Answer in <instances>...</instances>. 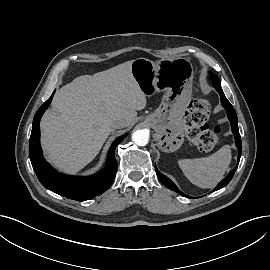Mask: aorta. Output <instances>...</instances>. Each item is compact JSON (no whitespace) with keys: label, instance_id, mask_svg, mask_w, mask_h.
Listing matches in <instances>:
<instances>
[{"label":"aorta","instance_id":"obj_1","mask_svg":"<svg viewBox=\"0 0 270 270\" xmlns=\"http://www.w3.org/2000/svg\"><path fill=\"white\" fill-rule=\"evenodd\" d=\"M132 140L138 146H145L149 142V132L147 130H136L132 134Z\"/></svg>","mask_w":270,"mask_h":270}]
</instances>
